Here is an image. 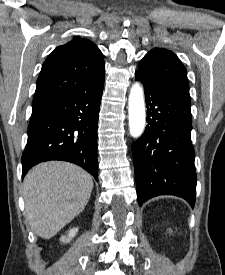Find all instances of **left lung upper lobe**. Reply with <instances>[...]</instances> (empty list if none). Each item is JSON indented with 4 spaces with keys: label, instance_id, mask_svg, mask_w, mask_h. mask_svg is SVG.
Returning a JSON list of instances; mask_svg holds the SVG:
<instances>
[{
    "label": "left lung upper lobe",
    "instance_id": "obj_1",
    "mask_svg": "<svg viewBox=\"0 0 225 275\" xmlns=\"http://www.w3.org/2000/svg\"><path fill=\"white\" fill-rule=\"evenodd\" d=\"M136 72L144 79L190 101L187 70L173 52L163 48L149 51Z\"/></svg>",
    "mask_w": 225,
    "mask_h": 275
}]
</instances>
